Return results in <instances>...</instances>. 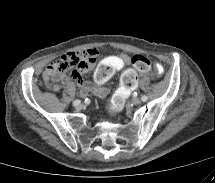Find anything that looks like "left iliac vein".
<instances>
[{
    "mask_svg": "<svg viewBox=\"0 0 215 183\" xmlns=\"http://www.w3.org/2000/svg\"><path fill=\"white\" fill-rule=\"evenodd\" d=\"M131 102L135 105H139L141 103V100L139 98H134L131 100Z\"/></svg>",
    "mask_w": 215,
    "mask_h": 183,
    "instance_id": "1",
    "label": "left iliac vein"
}]
</instances>
